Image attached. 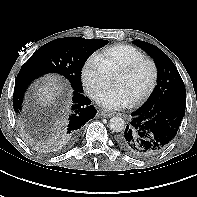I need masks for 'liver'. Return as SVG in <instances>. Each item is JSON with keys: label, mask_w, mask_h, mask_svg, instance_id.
<instances>
[{"label": "liver", "mask_w": 197, "mask_h": 197, "mask_svg": "<svg viewBox=\"0 0 197 197\" xmlns=\"http://www.w3.org/2000/svg\"><path fill=\"white\" fill-rule=\"evenodd\" d=\"M63 89V85L54 76H47L35 85V97L40 106L45 107L55 102L56 97Z\"/></svg>", "instance_id": "1"}]
</instances>
